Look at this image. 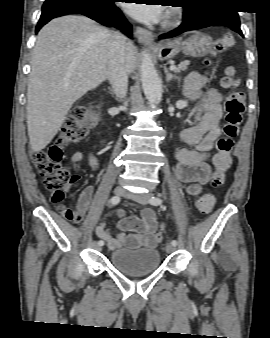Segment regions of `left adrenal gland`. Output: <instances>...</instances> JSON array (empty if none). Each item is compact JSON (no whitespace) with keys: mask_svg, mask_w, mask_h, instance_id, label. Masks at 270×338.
Segmentation results:
<instances>
[{"mask_svg":"<svg viewBox=\"0 0 270 338\" xmlns=\"http://www.w3.org/2000/svg\"><path fill=\"white\" fill-rule=\"evenodd\" d=\"M164 72L166 74V81L167 82H170L173 79L180 81V78L178 76H176L175 74L170 73L169 70L167 69V67H164Z\"/></svg>","mask_w":270,"mask_h":338,"instance_id":"1","label":"left adrenal gland"}]
</instances>
